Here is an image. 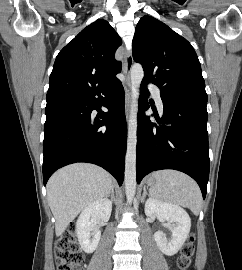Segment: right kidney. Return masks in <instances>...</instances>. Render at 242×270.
Returning <instances> with one entry per match:
<instances>
[{"instance_id":"right-kidney-1","label":"right kidney","mask_w":242,"mask_h":270,"mask_svg":"<svg viewBox=\"0 0 242 270\" xmlns=\"http://www.w3.org/2000/svg\"><path fill=\"white\" fill-rule=\"evenodd\" d=\"M112 211V202L107 198L97 200L83 209L76 222V233L81 248L93 252L98 246L101 232L97 226L99 220H108Z\"/></svg>"}]
</instances>
